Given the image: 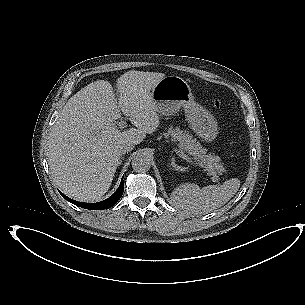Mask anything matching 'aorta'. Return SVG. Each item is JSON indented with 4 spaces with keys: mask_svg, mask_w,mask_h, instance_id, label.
Listing matches in <instances>:
<instances>
[{
    "mask_svg": "<svg viewBox=\"0 0 305 305\" xmlns=\"http://www.w3.org/2000/svg\"><path fill=\"white\" fill-rule=\"evenodd\" d=\"M151 167V157L148 153H138L132 160V168L136 172H146Z\"/></svg>",
    "mask_w": 305,
    "mask_h": 305,
    "instance_id": "aorta-1",
    "label": "aorta"
}]
</instances>
